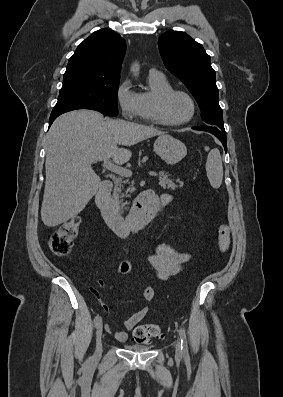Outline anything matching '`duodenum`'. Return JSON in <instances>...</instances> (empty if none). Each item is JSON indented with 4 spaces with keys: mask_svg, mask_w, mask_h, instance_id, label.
<instances>
[{
    "mask_svg": "<svg viewBox=\"0 0 283 397\" xmlns=\"http://www.w3.org/2000/svg\"><path fill=\"white\" fill-rule=\"evenodd\" d=\"M112 183L103 181L98 189L95 202L107 225L121 237L145 228L155 217L160 205L152 191L141 192L133 201L126 217L122 216L111 202Z\"/></svg>",
    "mask_w": 283,
    "mask_h": 397,
    "instance_id": "duodenum-1",
    "label": "duodenum"
}]
</instances>
